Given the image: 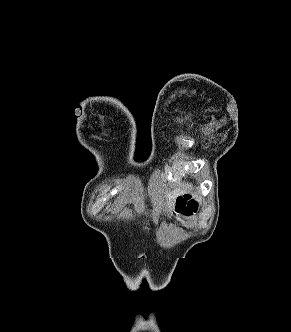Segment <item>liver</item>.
Instances as JSON below:
<instances>
[{"mask_svg": "<svg viewBox=\"0 0 291 332\" xmlns=\"http://www.w3.org/2000/svg\"><path fill=\"white\" fill-rule=\"evenodd\" d=\"M185 190L174 189L172 192L166 194V207L171 210L175 205V200L178 196L184 193Z\"/></svg>", "mask_w": 291, "mask_h": 332, "instance_id": "obj_1", "label": "liver"}]
</instances>
